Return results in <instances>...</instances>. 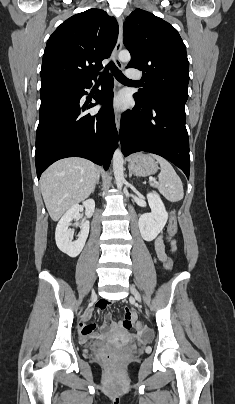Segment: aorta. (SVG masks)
<instances>
[{
  "instance_id": "aorta-1",
  "label": "aorta",
  "mask_w": 235,
  "mask_h": 404,
  "mask_svg": "<svg viewBox=\"0 0 235 404\" xmlns=\"http://www.w3.org/2000/svg\"><path fill=\"white\" fill-rule=\"evenodd\" d=\"M119 60L127 63L130 61L131 56L130 53L126 50L121 51L119 53ZM124 160H123V154L119 148H117L113 154V171H114V177L116 181V185L119 189L122 188L123 182H124Z\"/></svg>"
}]
</instances>
